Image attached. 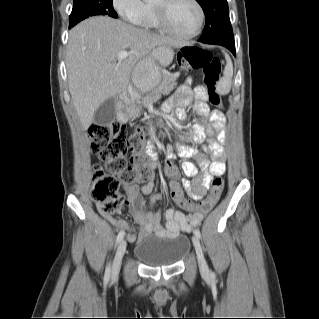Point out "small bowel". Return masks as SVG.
I'll use <instances>...</instances> for the list:
<instances>
[{"label":"small bowel","mask_w":319,"mask_h":319,"mask_svg":"<svg viewBox=\"0 0 319 319\" xmlns=\"http://www.w3.org/2000/svg\"><path fill=\"white\" fill-rule=\"evenodd\" d=\"M192 82V77H189L182 83L162 105L161 111L163 119L171 112L174 104H177L176 114L178 118L184 120L186 118V107L194 101L193 110L195 114L200 118L208 119L207 122L198 121L194 123L191 131L177 136L175 146L179 156L195 159L202 171V175H199L194 163L189 161H185L181 165L183 173L189 178L182 180V186L189 198L194 201H199L208 191L211 179L214 176H221L225 173V153L222 144L225 141L226 120L222 111L218 109H209L206 104V93L204 88L201 86L192 88ZM205 140L207 141V146L203 147V150H210L212 162L206 160L192 145L183 144V142L191 144L200 143ZM157 146L159 148L161 147L158 142ZM148 153L154 159L151 167L155 170L159 167V164L155 161L153 149L149 148ZM166 173L168 175L177 174V168L174 163L168 162L166 164ZM155 178L156 174L153 171L146 178L143 186H140L138 183L123 184V189L127 194V204L131 207L134 220L141 230L138 236H136V233L127 221L105 214L106 219L117 229L128 231L127 239L129 241H134L136 239L141 240L152 231L164 235H175L179 232H187L198 226L203 220V214L199 211L185 214L180 211L168 209L163 214H155L152 211V208L157 201L163 198V195L160 193L151 195L148 207L142 198V195H149L152 192ZM162 217L164 218V225L160 223Z\"/></svg>","instance_id":"obj_1"}]
</instances>
